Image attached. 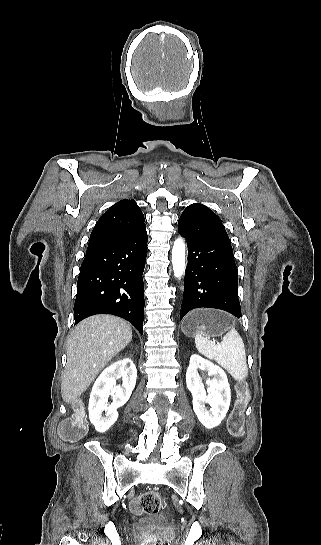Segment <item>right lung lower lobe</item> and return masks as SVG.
Segmentation results:
<instances>
[{"instance_id":"obj_1","label":"right lung lower lobe","mask_w":321,"mask_h":545,"mask_svg":"<svg viewBox=\"0 0 321 545\" xmlns=\"http://www.w3.org/2000/svg\"><path fill=\"white\" fill-rule=\"evenodd\" d=\"M147 232L87 249L80 268L74 305L75 324L95 314L128 320L143 334Z\"/></svg>"}]
</instances>
